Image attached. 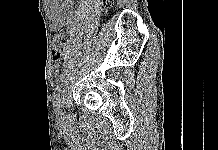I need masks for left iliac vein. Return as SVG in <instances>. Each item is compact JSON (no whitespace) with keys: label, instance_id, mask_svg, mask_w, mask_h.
Listing matches in <instances>:
<instances>
[{"label":"left iliac vein","instance_id":"1","mask_svg":"<svg viewBox=\"0 0 218 150\" xmlns=\"http://www.w3.org/2000/svg\"><path fill=\"white\" fill-rule=\"evenodd\" d=\"M55 111L57 115H60L62 113L60 108H56Z\"/></svg>","mask_w":218,"mask_h":150}]
</instances>
